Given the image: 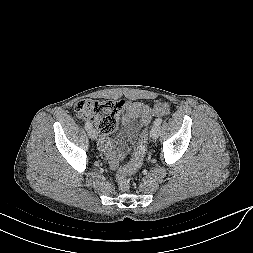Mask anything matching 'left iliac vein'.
Wrapping results in <instances>:
<instances>
[{"label":"left iliac vein","mask_w":253,"mask_h":253,"mask_svg":"<svg viewBox=\"0 0 253 253\" xmlns=\"http://www.w3.org/2000/svg\"><path fill=\"white\" fill-rule=\"evenodd\" d=\"M159 133H160V127L157 126V125H154L152 128H151V131H150V136L153 140H156L159 136Z\"/></svg>","instance_id":"1"}]
</instances>
